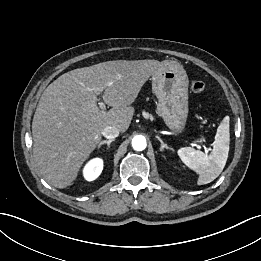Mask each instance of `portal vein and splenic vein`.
<instances>
[{
  "instance_id": "portal-vein-and-splenic-vein-1",
  "label": "portal vein and splenic vein",
  "mask_w": 261,
  "mask_h": 261,
  "mask_svg": "<svg viewBox=\"0 0 261 261\" xmlns=\"http://www.w3.org/2000/svg\"><path fill=\"white\" fill-rule=\"evenodd\" d=\"M110 85V84H109ZM103 87L102 88H96L94 91L97 93V94H100L101 92H103ZM98 105H99V108L101 109V110H104L105 108H106V106H105V103L104 102H102V101H99L98 102ZM204 150H205V152L207 153L210 149L209 148H207V147H204Z\"/></svg>"
}]
</instances>
